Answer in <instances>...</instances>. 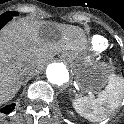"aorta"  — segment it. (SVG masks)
Masks as SVG:
<instances>
[{
  "label": "aorta",
  "mask_w": 124,
  "mask_h": 124,
  "mask_svg": "<svg viewBox=\"0 0 124 124\" xmlns=\"http://www.w3.org/2000/svg\"><path fill=\"white\" fill-rule=\"evenodd\" d=\"M46 76L50 83L56 85H62L69 80L68 70L60 63L50 64L46 69Z\"/></svg>",
  "instance_id": "762f6f07"
}]
</instances>
